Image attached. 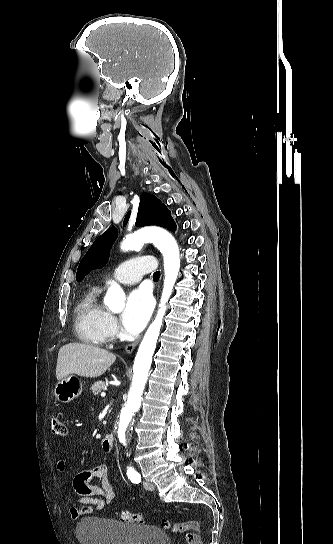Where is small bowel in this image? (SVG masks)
<instances>
[{"mask_svg":"<svg viewBox=\"0 0 333 544\" xmlns=\"http://www.w3.org/2000/svg\"><path fill=\"white\" fill-rule=\"evenodd\" d=\"M59 472L66 470V462L59 460L56 464ZM110 467L102 463L85 470L73 479V487L78 497L75 498L70 508V514L73 519L83 515H90L108 507L115 497L112 484L109 481ZM100 480V485L94 484V481Z\"/></svg>","mask_w":333,"mask_h":544,"instance_id":"c3829d8e","label":"small bowel"}]
</instances>
